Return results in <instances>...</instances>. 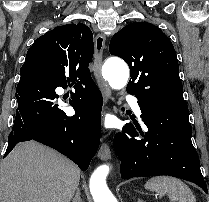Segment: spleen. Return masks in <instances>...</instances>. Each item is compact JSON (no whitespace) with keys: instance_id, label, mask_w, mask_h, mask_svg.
Segmentation results:
<instances>
[{"instance_id":"spleen-1","label":"spleen","mask_w":209,"mask_h":202,"mask_svg":"<svg viewBox=\"0 0 209 202\" xmlns=\"http://www.w3.org/2000/svg\"><path fill=\"white\" fill-rule=\"evenodd\" d=\"M145 189L166 194L173 202H196V198L190 188L184 182L174 177H153L146 182Z\"/></svg>"}]
</instances>
